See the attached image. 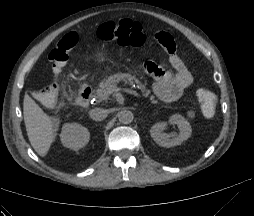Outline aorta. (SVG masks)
<instances>
[{"label": "aorta", "mask_w": 254, "mask_h": 216, "mask_svg": "<svg viewBox=\"0 0 254 216\" xmlns=\"http://www.w3.org/2000/svg\"><path fill=\"white\" fill-rule=\"evenodd\" d=\"M133 118V113L129 110L124 109L118 113V120L122 124H130Z\"/></svg>", "instance_id": "aorta-1"}]
</instances>
